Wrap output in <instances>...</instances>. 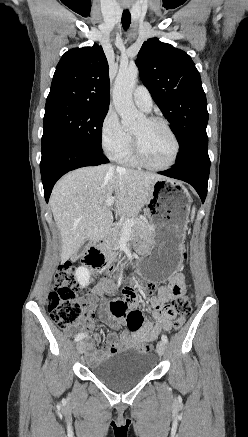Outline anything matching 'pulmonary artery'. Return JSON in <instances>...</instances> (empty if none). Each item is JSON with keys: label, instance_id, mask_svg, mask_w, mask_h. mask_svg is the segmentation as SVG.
I'll list each match as a JSON object with an SVG mask.
<instances>
[{"label": "pulmonary artery", "instance_id": "pulmonary-artery-1", "mask_svg": "<svg viewBox=\"0 0 248 437\" xmlns=\"http://www.w3.org/2000/svg\"><path fill=\"white\" fill-rule=\"evenodd\" d=\"M134 103L145 112H149L152 109L153 100L144 86H137L133 91Z\"/></svg>", "mask_w": 248, "mask_h": 437}]
</instances>
